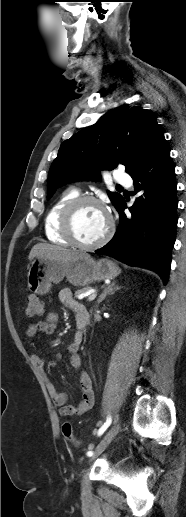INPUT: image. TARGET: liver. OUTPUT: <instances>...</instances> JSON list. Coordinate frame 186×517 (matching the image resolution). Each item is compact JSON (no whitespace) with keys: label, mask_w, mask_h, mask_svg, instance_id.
<instances>
[{"label":"liver","mask_w":186,"mask_h":517,"mask_svg":"<svg viewBox=\"0 0 186 517\" xmlns=\"http://www.w3.org/2000/svg\"><path fill=\"white\" fill-rule=\"evenodd\" d=\"M34 257L38 259H51V260H78V259H88L90 256L86 253L70 250L63 248L61 246L50 245L38 243L33 246L30 251L29 259H33Z\"/></svg>","instance_id":"6515ba94"}]
</instances>
